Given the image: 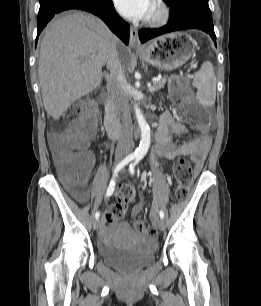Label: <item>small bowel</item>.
<instances>
[{"mask_svg":"<svg viewBox=\"0 0 261 306\" xmlns=\"http://www.w3.org/2000/svg\"><path fill=\"white\" fill-rule=\"evenodd\" d=\"M189 135L192 136L190 129L177 121L169 112H163L160 115L159 127L157 130V147L156 152L159 156L167 159H172L178 156H187L195 164L196 170H200L206 157L210 151L211 138L209 135L202 137H192V139L184 144H176L172 136ZM85 155L89 160V171L94 164V156L91 152H86ZM74 196L80 200H85L87 193L83 191H75ZM142 203H137L132 209L133 214H138L142 210ZM106 234V231H103Z\"/></svg>","mask_w":261,"mask_h":306,"instance_id":"c3829d8e","label":"small bowel"}]
</instances>
